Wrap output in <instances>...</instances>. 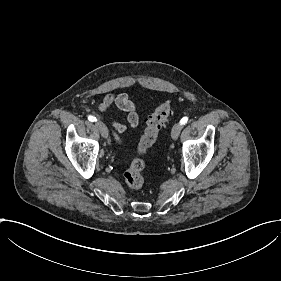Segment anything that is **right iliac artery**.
<instances>
[{"label":"right iliac artery","instance_id":"82829eb1","mask_svg":"<svg viewBox=\"0 0 281 281\" xmlns=\"http://www.w3.org/2000/svg\"><path fill=\"white\" fill-rule=\"evenodd\" d=\"M88 120L91 121V122L97 121L96 117L91 116V115L88 117Z\"/></svg>","mask_w":281,"mask_h":281}]
</instances>
